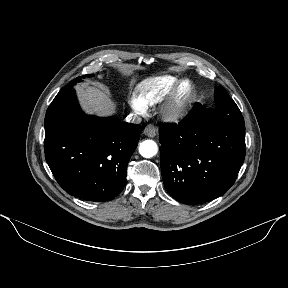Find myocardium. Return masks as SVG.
<instances>
[{
    "instance_id": "obj_1",
    "label": "myocardium",
    "mask_w": 288,
    "mask_h": 288,
    "mask_svg": "<svg viewBox=\"0 0 288 288\" xmlns=\"http://www.w3.org/2000/svg\"><path fill=\"white\" fill-rule=\"evenodd\" d=\"M197 98L195 84L188 79L179 81L162 108L163 117L169 122H178L192 108Z\"/></svg>"
}]
</instances>
